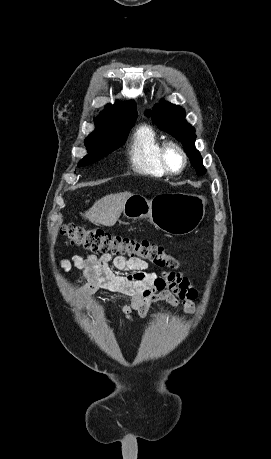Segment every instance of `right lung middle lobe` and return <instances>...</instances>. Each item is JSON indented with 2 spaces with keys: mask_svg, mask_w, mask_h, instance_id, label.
Segmentation results:
<instances>
[{
  "mask_svg": "<svg viewBox=\"0 0 271 459\" xmlns=\"http://www.w3.org/2000/svg\"><path fill=\"white\" fill-rule=\"evenodd\" d=\"M134 121L96 123L95 131L85 139L88 154L79 162V165L93 163L123 145Z\"/></svg>",
  "mask_w": 271,
  "mask_h": 459,
  "instance_id": "right-lung-middle-lobe-1",
  "label": "right lung middle lobe"
}]
</instances>
